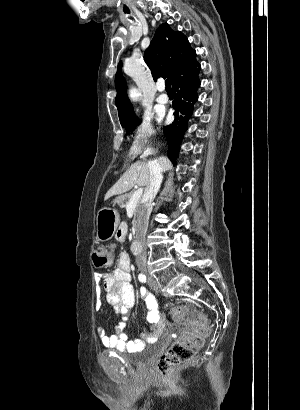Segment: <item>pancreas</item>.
<instances>
[{"mask_svg": "<svg viewBox=\"0 0 300 410\" xmlns=\"http://www.w3.org/2000/svg\"><path fill=\"white\" fill-rule=\"evenodd\" d=\"M132 195H133V192L124 194V195L118 197L115 202L123 207L124 205H126L128 203V201L132 197ZM140 207H141L140 202H138L137 205H136L135 214L139 211Z\"/></svg>", "mask_w": 300, "mask_h": 410, "instance_id": "obj_1", "label": "pancreas"}]
</instances>
